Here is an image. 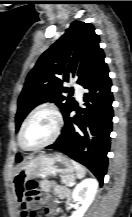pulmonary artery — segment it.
Segmentation results:
<instances>
[{
	"label": "pulmonary artery",
	"instance_id": "pulmonary-artery-1",
	"mask_svg": "<svg viewBox=\"0 0 132 217\" xmlns=\"http://www.w3.org/2000/svg\"><path fill=\"white\" fill-rule=\"evenodd\" d=\"M74 89H75V94H76L77 98L81 99L83 92H84L83 88L80 85H75Z\"/></svg>",
	"mask_w": 132,
	"mask_h": 217
}]
</instances>
